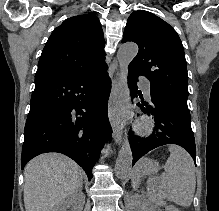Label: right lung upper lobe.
I'll list each match as a JSON object with an SVG mask.
<instances>
[{
  "mask_svg": "<svg viewBox=\"0 0 219 211\" xmlns=\"http://www.w3.org/2000/svg\"><path fill=\"white\" fill-rule=\"evenodd\" d=\"M104 45L101 24L93 13L68 18L49 37L36 75L95 70L106 64Z\"/></svg>",
  "mask_w": 219,
  "mask_h": 211,
  "instance_id": "right-lung-upper-lobe-1",
  "label": "right lung upper lobe"
}]
</instances>
